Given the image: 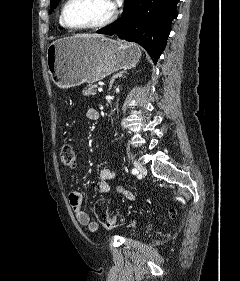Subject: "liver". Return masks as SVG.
Instances as JSON below:
<instances>
[{
	"label": "liver",
	"mask_w": 240,
	"mask_h": 281,
	"mask_svg": "<svg viewBox=\"0 0 240 281\" xmlns=\"http://www.w3.org/2000/svg\"><path fill=\"white\" fill-rule=\"evenodd\" d=\"M78 36H85V37H100V35H89V34H83Z\"/></svg>",
	"instance_id": "1"
}]
</instances>
